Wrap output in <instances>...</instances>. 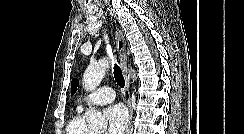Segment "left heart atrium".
<instances>
[{
  "label": "left heart atrium",
  "mask_w": 244,
  "mask_h": 134,
  "mask_svg": "<svg viewBox=\"0 0 244 134\" xmlns=\"http://www.w3.org/2000/svg\"><path fill=\"white\" fill-rule=\"evenodd\" d=\"M104 115L107 121L106 134H124L128 123V113L124 106L112 105L105 110Z\"/></svg>",
  "instance_id": "39dd6f15"
}]
</instances>
